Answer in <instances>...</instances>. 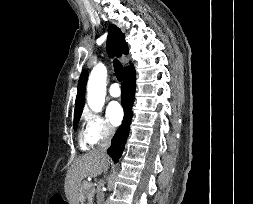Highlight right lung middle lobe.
<instances>
[{
  "label": "right lung middle lobe",
  "instance_id": "right-lung-middle-lobe-1",
  "mask_svg": "<svg viewBox=\"0 0 253 204\" xmlns=\"http://www.w3.org/2000/svg\"><path fill=\"white\" fill-rule=\"evenodd\" d=\"M81 114L74 117V130L77 129L78 121L80 119Z\"/></svg>",
  "mask_w": 253,
  "mask_h": 204
}]
</instances>
